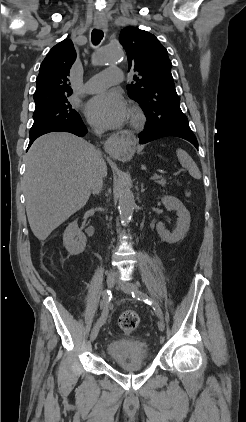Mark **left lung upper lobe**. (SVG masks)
<instances>
[{"mask_svg":"<svg viewBox=\"0 0 246 422\" xmlns=\"http://www.w3.org/2000/svg\"><path fill=\"white\" fill-rule=\"evenodd\" d=\"M128 56L134 82L127 85L128 95L146 112L147 128L168 124H188L179 105L167 50L151 33L135 27L123 29L119 36Z\"/></svg>","mask_w":246,"mask_h":422,"instance_id":"1","label":"left lung upper lobe"}]
</instances>
